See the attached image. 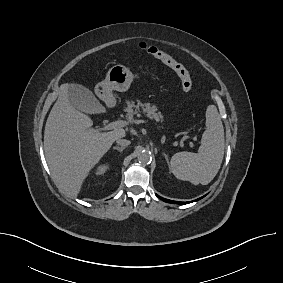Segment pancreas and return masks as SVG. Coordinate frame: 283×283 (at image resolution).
Returning <instances> with one entry per match:
<instances>
[{
	"instance_id": "obj_1",
	"label": "pancreas",
	"mask_w": 283,
	"mask_h": 283,
	"mask_svg": "<svg viewBox=\"0 0 283 283\" xmlns=\"http://www.w3.org/2000/svg\"><path fill=\"white\" fill-rule=\"evenodd\" d=\"M127 106L124 111L127 113L126 117L129 121L134 120V115H139V112L144 113L150 119H154L157 122L163 121V116L161 112H158V109L155 105L151 106L150 103H141L138 102L135 104L134 101L130 100L126 102Z\"/></svg>"
}]
</instances>
